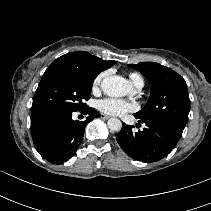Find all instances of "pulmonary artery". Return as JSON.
Listing matches in <instances>:
<instances>
[{"mask_svg": "<svg viewBox=\"0 0 211 211\" xmlns=\"http://www.w3.org/2000/svg\"><path fill=\"white\" fill-rule=\"evenodd\" d=\"M142 86H143V85H138V86H137V88H139V89H140Z\"/></svg>", "mask_w": 211, "mask_h": 211, "instance_id": "pulmonary-artery-1", "label": "pulmonary artery"}]
</instances>
